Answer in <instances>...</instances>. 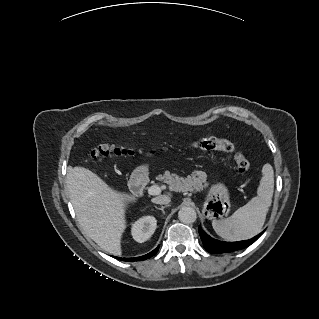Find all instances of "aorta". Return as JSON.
Masks as SVG:
<instances>
[{"label":"aorta","instance_id":"762f6f07","mask_svg":"<svg viewBox=\"0 0 319 319\" xmlns=\"http://www.w3.org/2000/svg\"><path fill=\"white\" fill-rule=\"evenodd\" d=\"M178 218L184 224H192L196 221L197 214L194 208L184 206L180 208L178 212Z\"/></svg>","mask_w":319,"mask_h":319}]
</instances>
